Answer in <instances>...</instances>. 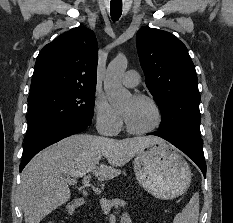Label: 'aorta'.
<instances>
[{
    "label": "aorta",
    "instance_id": "1",
    "mask_svg": "<svg viewBox=\"0 0 233 223\" xmlns=\"http://www.w3.org/2000/svg\"><path fill=\"white\" fill-rule=\"evenodd\" d=\"M127 64L126 58H115L107 68L104 90L110 106H122L131 98L129 90L123 88L121 84V78L126 72Z\"/></svg>",
    "mask_w": 233,
    "mask_h": 223
}]
</instances>
